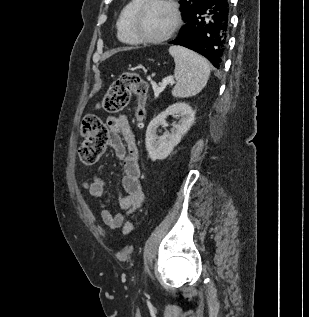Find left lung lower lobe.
Returning a JSON list of instances; mask_svg holds the SVG:
<instances>
[{
	"mask_svg": "<svg viewBox=\"0 0 309 317\" xmlns=\"http://www.w3.org/2000/svg\"><path fill=\"white\" fill-rule=\"evenodd\" d=\"M184 21L179 36L169 43L200 53L219 69L228 42L229 0H204Z\"/></svg>",
	"mask_w": 309,
	"mask_h": 317,
	"instance_id": "left-lung-lower-lobe-1",
	"label": "left lung lower lobe"
}]
</instances>
